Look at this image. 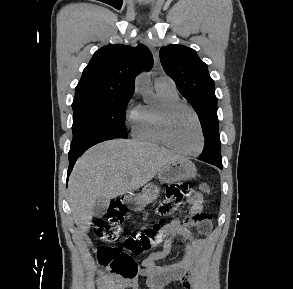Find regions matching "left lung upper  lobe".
I'll use <instances>...</instances> for the list:
<instances>
[{
	"mask_svg": "<svg viewBox=\"0 0 293 289\" xmlns=\"http://www.w3.org/2000/svg\"><path fill=\"white\" fill-rule=\"evenodd\" d=\"M159 55L164 71L196 111L204 137L211 132H218L217 98L207 65L200 60L195 50L181 45L162 47ZM208 159L221 163V146L209 154Z\"/></svg>",
	"mask_w": 293,
	"mask_h": 289,
	"instance_id": "1",
	"label": "left lung upper lobe"
}]
</instances>
